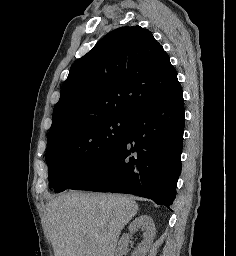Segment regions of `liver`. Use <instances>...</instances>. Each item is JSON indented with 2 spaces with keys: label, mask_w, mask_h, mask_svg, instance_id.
<instances>
[{
  "label": "liver",
  "mask_w": 236,
  "mask_h": 256,
  "mask_svg": "<svg viewBox=\"0 0 236 256\" xmlns=\"http://www.w3.org/2000/svg\"><path fill=\"white\" fill-rule=\"evenodd\" d=\"M138 212L130 196L67 192L47 204L54 256H115L121 230Z\"/></svg>",
  "instance_id": "liver-1"
}]
</instances>
